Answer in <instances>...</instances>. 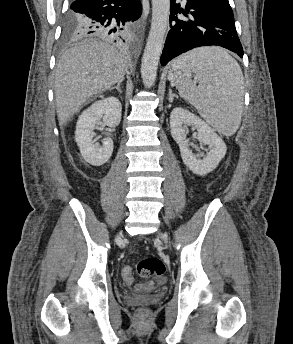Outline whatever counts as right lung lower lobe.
<instances>
[{
  "instance_id": "right-lung-lower-lobe-1",
  "label": "right lung lower lobe",
  "mask_w": 293,
  "mask_h": 344,
  "mask_svg": "<svg viewBox=\"0 0 293 344\" xmlns=\"http://www.w3.org/2000/svg\"><path fill=\"white\" fill-rule=\"evenodd\" d=\"M70 11L82 15L81 36L96 35L115 42L129 39V26L142 12L139 0H74Z\"/></svg>"
}]
</instances>
